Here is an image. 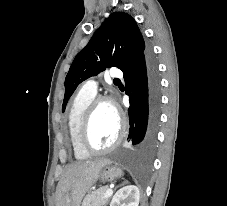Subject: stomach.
Returning <instances> with one entry per match:
<instances>
[{"label": "stomach", "mask_w": 227, "mask_h": 206, "mask_svg": "<svg viewBox=\"0 0 227 206\" xmlns=\"http://www.w3.org/2000/svg\"><path fill=\"white\" fill-rule=\"evenodd\" d=\"M121 175V169L112 165V163L109 161L101 168L98 178L103 182H111Z\"/></svg>", "instance_id": "1"}]
</instances>
